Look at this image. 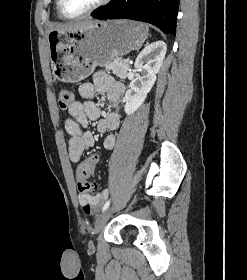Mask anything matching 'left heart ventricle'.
I'll return each mask as SVG.
<instances>
[{"instance_id": "obj_1", "label": "left heart ventricle", "mask_w": 247, "mask_h": 280, "mask_svg": "<svg viewBox=\"0 0 247 280\" xmlns=\"http://www.w3.org/2000/svg\"><path fill=\"white\" fill-rule=\"evenodd\" d=\"M98 1L99 0H64V9L69 15H77L86 11Z\"/></svg>"}]
</instances>
